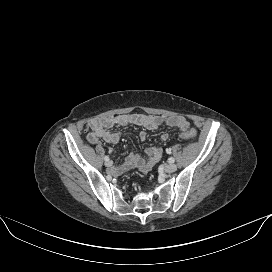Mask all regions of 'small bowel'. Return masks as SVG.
<instances>
[{
  "instance_id": "small-bowel-1",
  "label": "small bowel",
  "mask_w": 272,
  "mask_h": 272,
  "mask_svg": "<svg viewBox=\"0 0 272 272\" xmlns=\"http://www.w3.org/2000/svg\"><path fill=\"white\" fill-rule=\"evenodd\" d=\"M163 124L171 127H178L181 130H187L190 127L189 122L184 117L178 115L158 116L144 114H120L116 116L95 118L90 120L88 123L89 132L87 138L89 142L93 144H97L100 139H103L111 144H116L121 138L120 133L109 131V128L115 125H139L148 130H156ZM139 137L142 141L145 140L146 133L140 132ZM167 139L168 135L166 133L160 135V141L165 142ZM146 152V159L142 158L136 153H131L126 159L125 163L123 165L116 166L113 169V172L118 174L131 168H138L143 172L150 170L156 163L160 161L162 157V149L161 147L153 146L149 147Z\"/></svg>"
}]
</instances>
